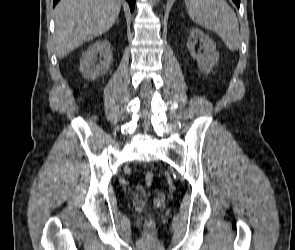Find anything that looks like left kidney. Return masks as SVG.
I'll return each mask as SVG.
<instances>
[{
	"label": "left kidney",
	"mask_w": 295,
	"mask_h": 250,
	"mask_svg": "<svg viewBox=\"0 0 295 250\" xmlns=\"http://www.w3.org/2000/svg\"><path fill=\"white\" fill-rule=\"evenodd\" d=\"M198 39L202 43L203 53L201 54L195 51V43ZM187 47L191 56L197 60L201 72L210 73L214 65L218 63L219 54L215 42L201 30L193 28L190 31Z\"/></svg>",
	"instance_id": "obj_1"
}]
</instances>
